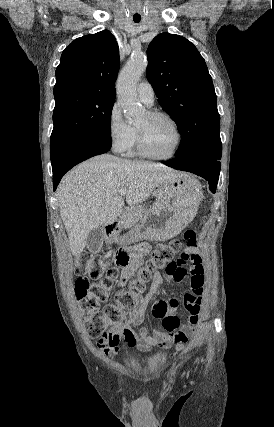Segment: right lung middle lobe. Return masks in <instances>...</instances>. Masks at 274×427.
<instances>
[{
	"mask_svg": "<svg viewBox=\"0 0 274 427\" xmlns=\"http://www.w3.org/2000/svg\"><path fill=\"white\" fill-rule=\"evenodd\" d=\"M115 96L66 98L55 104L50 158L55 161L71 146L91 138L111 139V113Z\"/></svg>",
	"mask_w": 274,
	"mask_h": 427,
	"instance_id": "dd1d6c3e",
	"label": "right lung middle lobe"
}]
</instances>
